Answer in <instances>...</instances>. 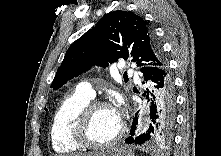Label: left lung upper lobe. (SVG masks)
I'll return each instance as SVG.
<instances>
[{
  "label": "left lung upper lobe",
  "instance_id": "5c2ea615",
  "mask_svg": "<svg viewBox=\"0 0 221 156\" xmlns=\"http://www.w3.org/2000/svg\"><path fill=\"white\" fill-rule=\"evenodd\" d=\"M129 56L141 72L166 63L154 33L140 16L121 10L110 12L69 47L51 87L57 90L92 65L105 68Z\"/></svg>",
  "mask_w": 221,
  "mask_h": 156
}]
</instances>
